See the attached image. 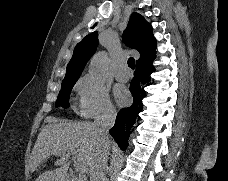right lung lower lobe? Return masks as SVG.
<instances>
[{
    "mask_svg": "<svg viewBox=\"0 0 228 181\" xmlns=\"http://www.w3.org/2000/svg\"><path fill=\"white\" fill-rule=\"evenodd\" d=\"M155 59V52L148 58L136 63L134 78L130 84V91L133 95V104L130 107L119 111L116 122L109 133L113 136L118 145L125 149L128 146V138L132 127L143 108L142 100L146 96L145 85H150L149 75L154 72L152 62Z\"/></svg>",
    "mask_w": 228,
    "mask_h": 181,
    "instance_id": "right-lung-lower-lobe-1",
    "label": "right lung lower lobe"
}]
</instances>
